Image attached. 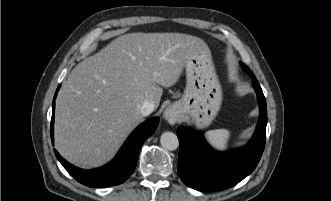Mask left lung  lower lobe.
I'll use <instances>...</instances> for the list:
<instances>
[{
  "instance_id": "left-lung-lower-lobe-1",
  "label": "left lung lower lobe",
  "mask_w": 331,
  "mask_h": 201,
  "mask_svg": "<svg viewBox=\"0 0 331 201\" xmlns=\"http://www.w3.org/2000/svg\"><path fill=\"white\" fill-rule=\"evenodd\" d=\"M243 68L248 67L244 65ZM252 78L260 116L254 136L245 147L217 152L207 144L199 131L188 126L178 128V174L187 186L201 191L224 190L239 183L256 168L265 146L267 109L264 94L254 74Z\"/></svg>"
}]
</instances>
